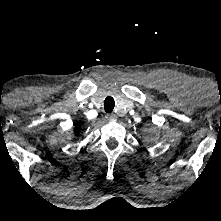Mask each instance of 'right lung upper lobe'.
Here are the masks:
<instances>
[{
    "instance_id": "1",
    "label": "right lung upper lobe",
    "mask_w": 221,
    "mask_h": 221,
    "mask_svg": "<svg viewBox=\"0 0 221 221\" xmlns=\"http://www.w3.org/2000/svg\"><path fill=\"white\" fill-rule=\"evenodd\" d=\"M79 130H80V124H77L75 126V133L78 134L79 133Z\"/></svg>"
}]
</instances>
